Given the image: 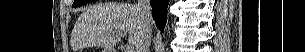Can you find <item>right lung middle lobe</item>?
I'll return each mask as SVG.
<instances>
[{
  "label": "right lung middle lobe",
  "mask_w": 305,
  "mask_h": 52,
  "mask_svg": "<svg viewBox=\"0 0 305 52\" xmlns=\"http://www.w3.org/2000/svg\"><path fill=\"white\" fill-rule=\"evenodd\" d=\"M91 0H76V1H74V3H73V7H78V6H81V5H83V4H86V3H88V2H90Z\"/></svg>",
  "instance_id": "obj_1"
}]
</instances>
